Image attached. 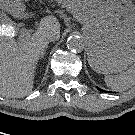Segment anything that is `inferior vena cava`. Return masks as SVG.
Wrapping results in <instances>:
<instances>
[{
	"label": "inferior vena cava",
	"instance_id": "obj_1",
	"mask_svg": "<svg viewBox=\"0 0 135 135\" xmlns=\"http://www.w3.org/2000/svg\"><path fill=\"white\" fill-rule=\"evenodd\" d=\"M56 39L54 34L47 35L45 38L46 43L52 42Z\"/></svg>",
	"mask_w": 135,
	"mask_h": 135
}]
</instances>
